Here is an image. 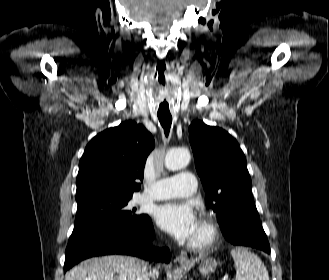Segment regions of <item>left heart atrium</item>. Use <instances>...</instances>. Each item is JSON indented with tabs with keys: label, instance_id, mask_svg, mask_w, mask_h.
I'll return each mask as SVG.
<instances>
[{
	"label": "left heart atrium",
	"instance_id": "39dd6f15",
	"mask_svg": "<svg viewBox=\"0 0 329 280\" xmlns=\"http://www.w3.org/2000/svg\"><path fill=\"white\" fill-rule=\"evenodd\" d=\"M154 217L159 227L181 241H192L199 228L197 215L187 203H164L156 208Z\"/></svg>",
	"mask_w": 329,
	"mask_h": 280
}]
</instances>
